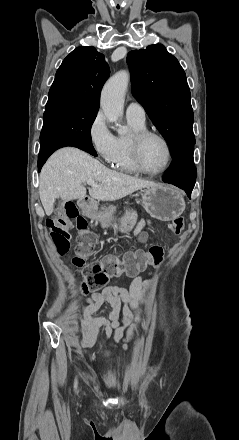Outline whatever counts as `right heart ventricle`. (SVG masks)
Masks as SVG:
<instances>
[{"label": "right heart ventricle", "mask_w": 239, "mask_h": 440, "mask_svg": "<svg viewBox=\"0 0 239 440\" xmlns=\"http://www.w3.org/2000/svg\"><path fill=\"white\" fill-rule=\"evenodd\" d=\"M129 121L133 126L134 131L145 128V123ZM130 138V135L118 137V152L112 164L116 169L122 172L137 174L139 171L136 169L131 157Z\"/></svg>", "instance_id": "obj_1"}]
</instances>
